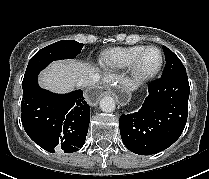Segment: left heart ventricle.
<instances>
[{
	"label": "left heart ventricle",
	"mask_w": 209,
	"mask_h": 179,
	"mask_svg": "<svg viewBox=\"0 0 209 179\" xmlns=\"http://www.w3.org/2000/svg\"><path fill=\"white\" fill-rule=\"evenodd\" d=\"M160 54L156 49H150L142 56L139 63V70L143 73L151 72L158 66Z\"/></svg>",
	"instance_id": "left-heart-ventricle-1"
}]
</instances>
